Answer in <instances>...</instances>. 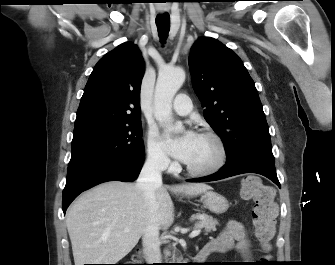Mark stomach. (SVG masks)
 Returning <instances> with one entry per match:
<instances>
[{"instance_id": "obj_1", "label": "stomach", "mask_w": 335, "mask_h": 265, "mask_svg": "<svg viewBox=\"0 0 335 265\" xmlns=\"http://www.w3.org/2000/svg\"><path fill=\"white\" fill-rule=\"evenodd\" d=\"M201 199L205 208L216 214H222L229 208L228 200L214 191H205Z\"/></svg>"}]
</instances>
